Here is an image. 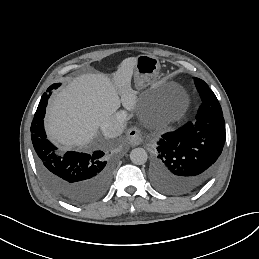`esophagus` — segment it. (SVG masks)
<instances>
[{
    "instance_id": "1",
    "label": "esophagus",
    "mask_w": 259,
    "mask_h": 259,
    "mask_svg": "<svg viewBox=\"0 0 259 259\" xmlns=\"http://www.w3.org/2000/svg\"><path fill=\"white\" fill-rule=\"evenodd\" d=\"M126 139L131 146H137L143 141L141 131L135 127H132L128 130Z\"/></svg>"
}]
</instances>
